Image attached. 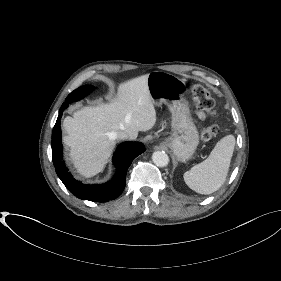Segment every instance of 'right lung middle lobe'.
Masks as SVG:
<instances>
[{
	"mask_svg": "<svg viewBox=\"0 0 281 281\" xmlns=\"http://www.w3.org/2000/svg\"><path fill=\"white\" fill-rule=\"evenodd\" d=\"M93 89H94V86H92V85H84L82 87H79L78 89L74 90L72 93H70L68 95V97L66 98L65 102L71 103L73 101H78L82 97L87 95Z\"/></svg>",
	"mask_w": 281,
	"mask_h": 281,
	"instance_id": "obj_1",
	"label": "right lung middle lobe"
}]
</instances>
